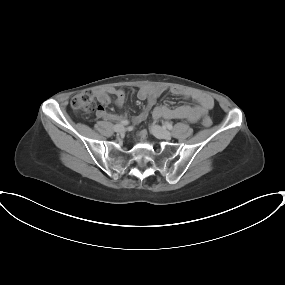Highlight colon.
Returning a JSON list of instances; mask_svg holds the SVG:
<instances>
[{
    "label": "colon",
    "mask_w": 285,
    "mask_h": 285,
    "mask_svg": "<svg viewBox=\"0 0 285 285\" xmlns=\"http://www.w3.org/2000/svg\"><path fill=\"white\" fill-rule=\"evenodd\" d=\"M71 107L76 112L90 113L96 108L95 94L91 90L84 91L76 95L71 101ZM201 123L205 127L212 125L209 117H204Z\"/></svg>",
    "instance_id": "1"
}]
</instances>
